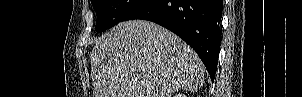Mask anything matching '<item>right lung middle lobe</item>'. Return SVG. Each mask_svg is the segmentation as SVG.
Instances as JSON below:
<instances>
[{"mask_svg":"<svg viewBox=\"0 0 302 97\" xmlns=\"http://www.w3.org/2000/svg\"><path fill=\"white\" fill-rule=\"evenodd\" d=\"M141 0H91L96 11L95 30L102 32L121 22L124 16Z\"/></svg>","mask_w":302,"mask_h":97,"instance_id":"1","label":"right lung middle lobe"}]
</instances>
